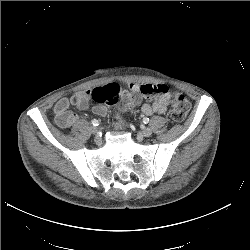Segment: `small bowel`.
Segmentation results:
<instances>
[{
    "instance_id": "small-bowel-1",
    "label": "small bowel",
    "mask_w": 250,
    "mask_h": 250,
    "mask_svg": "<svg viewBox=\"0 0 250 250\" xmlns=\"http://www.w3.org/2000/svg\"><path fill=\"white\" fill-rule=\"evenodd\" d=\"M130 89L142 94L147 99L141 111L145 115H153L155 113L164 114L169 105L170 93L166 85L159 84H130ZM91 91H81L75 93L70 98H61L54 106L55 122L61 128H69L78 121V116L71 112L69 108L76 106L81 110L90 108ZM92 112L98 116H104L107 109L103 105H95Z\"/></svg>"
}]
</instances>
